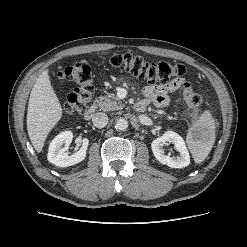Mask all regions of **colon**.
Masks as SVG:
<instances>
[{"label":"colon","instance_id":"5ec220e1","mask_svg":"<svg viewBox=\"0 0 247 247\" xmlns=\"http://www.w3.org/2000/svg\"><path fill=\"white\" fill-rule=\"evenodd\" d=\"M110 64L117 70L128 72L140 80L149 82H169L179 78L186 72L180 63L148 62L143 57L132 54H121L111 58ZM58 77L71 81L77 87L68 94L64 103V110L70 115L83 113L91 101L94 84L89 65L77 62L58 72ZM182 94L189 109L199 112L204 108L202 97L195 93L191 84L185 81Z\"/></svg>","mask_w":247,"mask_h":247}]
</instances>
